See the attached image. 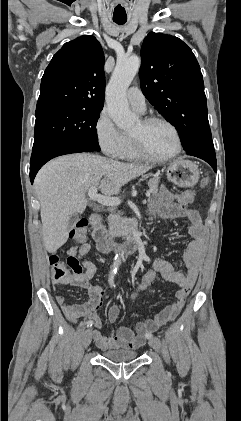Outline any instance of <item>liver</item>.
I'll use <instances>...</instances> for the list:
<instances>
[{
	"label": "liver",
	"instance_id": "1",
	"mask_svg": "<svg viewBox=\"0 0 241 421\" xmlns=\"http://www.w3.org/2000/svg\"><path fill=\"white\" fill-rule=\"evenodd\" d=\"M151 168L88 153L61 156L45 164L34 181L45 249L54 253L65 244L69 219L84 212L91 187L111 196Z\"/></svg>",
	"mask_w": 241,
	"mask_h": 421
}]
</instances>
